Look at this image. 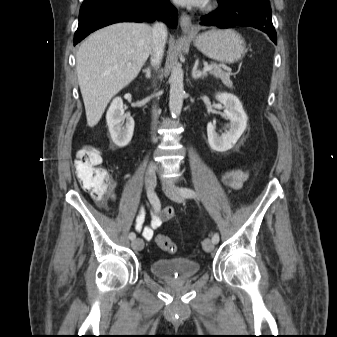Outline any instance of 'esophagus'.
Returning <instances> with one entry per match:
<instances>
[{
  "mask_svg": "<svg viewBox=\"0 0 337 337\" xmlns=\"http://www.w3.org/2000/svg\"><path fill=\"white\" fill-rule=\"evenodd\" d=\"M180 26L184 33H190L193 31L191 18L188 14L182 13L180 17Z\"/></svg>",
  "mask_w": 337,
  "mask_h": 337,
  "instance_id": "obj_1",
  "label": "esophagus"
}]
</instances>
